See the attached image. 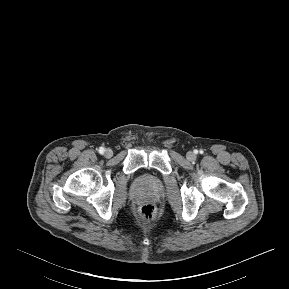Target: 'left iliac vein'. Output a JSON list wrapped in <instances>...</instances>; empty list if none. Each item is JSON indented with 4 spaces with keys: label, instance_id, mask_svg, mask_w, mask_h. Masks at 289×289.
I'll return each instance as SVG.
<instances>
[{
    "label": "left iliac vein",
    "instance_id": "obj_1",
    "mask_svg": "<svg viewBox=\"0 0 289 289\" xmlns=\"http://www.w3.org/2000/svg\"><path fill=\"white\" fill-rule=\"evenodd\" d=\"M187 159L188 160H194L195 159V155L192 152H188L187 153Z\"/></svg>",
    "mask_w": 289,
    "mask_h": 289
}]
</instances>
